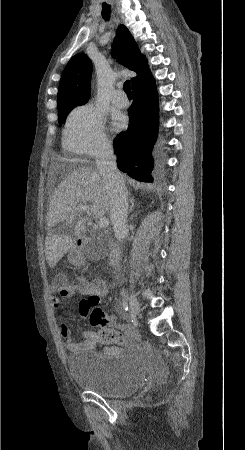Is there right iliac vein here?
<instances>
[{
  "label": "right iliac vein",
  "mask_w": 245,
  "mask_h": 450,
  "mask_svg": "<svg viewBox=\"0 0 245 450\" xmlns=\"http://www.w3.org/2000/svg\"><path fill=\"white\" fill-rule=\"evenodd\" d=\"M129 306L133 316L137 317L140 313V304L133 294L129 296Z\"/></svg>",
  "instance_id": "1"
}]
</instances>
